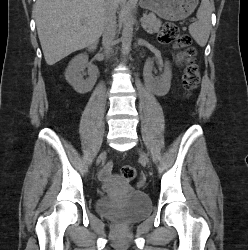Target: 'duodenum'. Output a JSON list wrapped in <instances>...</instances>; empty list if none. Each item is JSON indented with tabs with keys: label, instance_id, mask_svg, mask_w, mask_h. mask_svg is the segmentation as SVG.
I'll return each instance as SVG.
<instances>
[{
	"label": "duodenum",
	"instance_id": "duodenum-1",
	"mask_svg": "<svg viewBox=\"0 0 248 250\" xmlns=\"http://www.w3.org/2000/svg\"><path fill=\"white\" fill-rule=\"evenodd\" d=\"M95 50V45L94 44H91L90 47H89V51L90 52H93Z\"/></svg>",
	"mask_w": 248,
	"mask_h": 250
}]
</instances>
